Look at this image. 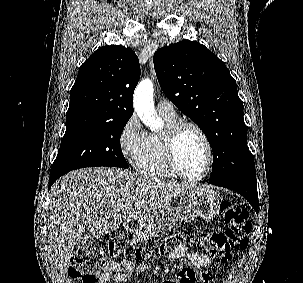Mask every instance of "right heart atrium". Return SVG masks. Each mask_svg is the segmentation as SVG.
<instances>
[{"mask_svg":"<svg viewBox=\"0 0 303 283\" xmlns=\"http://www.w3.org/2000/svg\"><path fill=\"white\" fill-rule=\"evenodd\" d=\"M147 139L136 115H131L124 123L119 134V146L122 155L129 163H134L142 153Z\"/></svg>","mask_w":303,"mask_h":283,"instance_id":"right-heart-atrium-1","label":"right heart atrium"}]
</instances>
